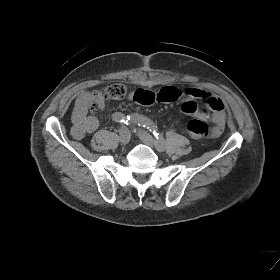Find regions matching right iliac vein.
I'll return each mask as SVG.
<instances>
[{
  "mask_svg": "<svg viewBox=\"0 0 280 280\" xmlns=\"http://www.w3.org/2000/svg\"><path fill=\"white\" fill-rule=\"evenodd\" d=\"M119 140H120V143L122 145H126L129 143L130 141V138H131V134L129 132V130L126 128V127H122L120 130H119Z\"/></svg>",
  "mask_w": 280,
  "mask_h": 280,
  "instance_id": "1",
  "label": "right iliac vein"
}]
</instances>
